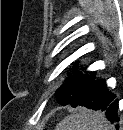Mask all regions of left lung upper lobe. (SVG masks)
<instances>
[{"mask_svg":"<svg viewBox=\"0 0 123 130\" xmlns=\"http://www.w3.org/2000/svg\"><path fill=\"white\" fill-rule=\"evenodd\" d=\"M89 76L90 75L88 74H75L74 76H71L55 93L56 98H58V103L63 106L70 104L74 107L82 95Z\"/></svg>","mask_w":123,"mask_h":130,"instance_id":"5c2ea615","label":"left lung upper lobe"}]
</instances>
